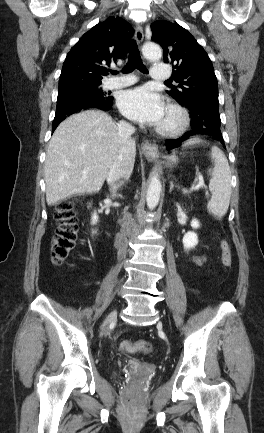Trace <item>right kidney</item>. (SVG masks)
Here are the masks:
<instances>
[{"instance_id":"ca27d5eb","label":"right kidney","mask_w":264,"mask_h":433,"mask_svg":"<svg viewBox=\"0 0 264 433\" xmlns=\"http://www.w3.org/2000/svg\"><path fill=\"white\" fill-rule=\"evenodd\" d=\"M97 220H98V216H97L96 213H94V215H93V217H92V224H96ZM93 233H94V232H93Z\"/></svg>"}]
</instances>
